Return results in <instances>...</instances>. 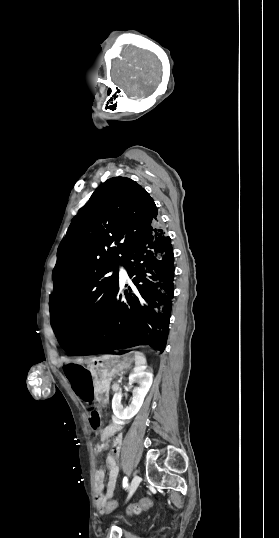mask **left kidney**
<instances>
[{
	"instance_id": "obj_1",
	"label": "left kidney",
	"mask_w": 279,
	"mask_h": 538,
	"mask_svg": "<svg viewBox=\"0 0 279 538\" xmlns=\"http://www.w3.org/2000/svg\"><path fill=\"white\" fill-rule=\"evenodd\" d=\"M135 382H138L139 388H134L132 402L127 408H123L121 404V392H118V394H114L113 396L112 410L115 416L120 418V420H131V418L136 416L137 412H139L144 402V398L152 386V372H149V370L146 372V368H135L133 374H130L129 376V384H135Z\"/></svg>"
}]
</instances>
